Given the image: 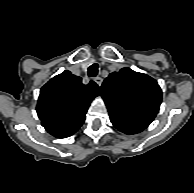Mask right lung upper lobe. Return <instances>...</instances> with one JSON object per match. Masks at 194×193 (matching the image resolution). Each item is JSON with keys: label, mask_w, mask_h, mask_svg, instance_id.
Here are the masks:
<instances>
[{"label": "right lung upper lobe", "mask_w": 194, "mask_h": 193, "mask_svg": "<svg viewBox=\"0 0 194 193\" xmlns=\"http://www.w3.org/2000/svg\"><path fill=\"white\" fill-rule=\"evenodd\" d=\"M100 95V88L65 70L53 77L40 90L37 113L42 126L57 138L74 134L83 124L91 101Z\"/></svg>", "instance_id": "obj_1"}]
</instances>
